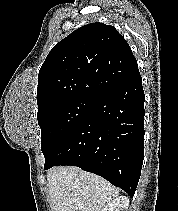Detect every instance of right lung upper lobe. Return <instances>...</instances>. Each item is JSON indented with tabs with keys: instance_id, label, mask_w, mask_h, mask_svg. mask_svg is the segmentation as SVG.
<instances>
[{
	"instance_id": "cb5924a9",
	"label": "right lung upper lobe",
	"mask_w": 178,
	"mask_h": 211,
	"mask_svg": "<svg viewBox=\"0 0 178 211\" xmlns=\"http://www.w3.org/2000/svg\"><path fill=\"white\" fill-rule=\"evenodd\" d=\"M138 73L128 43L113 26H82L56 44L41 66L38 111L68 99H98Z\"/></svg>"
}]
</instances>
